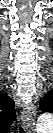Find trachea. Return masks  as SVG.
<instances>
[{"instance_id":"trachea-1","label":"trachea","mask_w":53,"mask_h":133,"mask_svg":"<svg viewBox=\"0 0 53 133\" xmlns=\"http://www.w3.org/2000/svg\"><path fill=\"white\" fill-rule=\"evenodd\" d=\"M19 133H27L21 126L19 127Z\"/></svg>"}]
</instances>
